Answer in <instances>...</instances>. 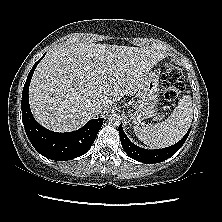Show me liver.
I'll use <instances>...</instances> for the list:
<instances>
[{"label":"liver","mask_w":222,"mask_h":222,"mask_svg":"<svg viewBox=\"0 0 222 222\" xmlns=\"http://www.w3.org/2000/svg\"><path fill=\"white\" fill-rule=\"evenodd\" d=\"M166 54L153 48L78 43L60 45L37 66L29 89L35 119L55 132L78 129L123 96L134 95ZM101 104L93 113L90 104Z\"/></svg>","instance_id":"liver-1"}]
</instances>
